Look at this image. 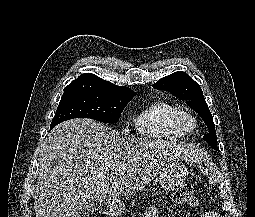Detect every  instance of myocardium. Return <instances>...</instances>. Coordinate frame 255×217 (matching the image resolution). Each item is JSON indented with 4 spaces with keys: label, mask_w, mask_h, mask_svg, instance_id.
<instances>
[{
    "label": "myocardium",
    "mask_w": 255,
    "mask_h": 217,
    "mask_svg": "<svg viewBox=\"0 0 255 217\" xmlns=\"http://www.w3.org/2000/svg\"><path fill=\"white\" fill-rule=\"evenodd\" d=\"M179 128L185 133L189 134L196 130L197 119L189 112L180 111L176 117Z\"/></svg>",
    "instance_id": "myocardium-1"
}]
</instances>
